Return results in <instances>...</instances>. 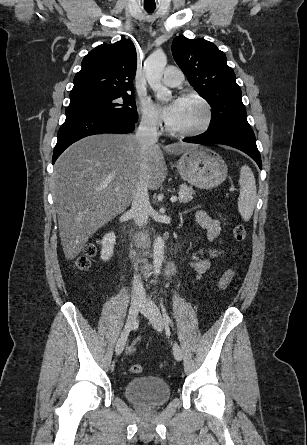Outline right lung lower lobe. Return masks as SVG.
Instances as JSON below:
<instances>
[{
	"mask_svg": "<svg viewBox=\"0 0 307 445\" xmlns=\"http://www.w3.org/2000/svg\"><path fill=\"white\" fill-rule=\"evenodd\" d=\"M138 119H128L105 113H80L66 116L58 132L52 163L72 143L89 135L101 133H129L135 129Z\"/></svg>",
	"mask_w": 307,
	"mask_h": 445,
	"instance_id": "obj_1",
	"label": "right lung lower lobe"
}]
</instances>
